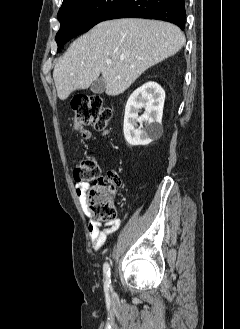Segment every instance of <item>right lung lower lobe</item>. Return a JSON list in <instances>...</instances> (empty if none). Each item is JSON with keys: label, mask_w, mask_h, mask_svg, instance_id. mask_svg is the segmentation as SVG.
Masks as SVG:
<instances>
[{"label": "right lung lower lobe", "mask_w": 240, "mask_h": 329, "mask_svg": "<svg viewBox=\"0 0 240 329\" xmlns=\"http://www.w3.org/2000/svg\"><path fill=\"white\" fill-rule=\"evenodd\" d=\"M117 18H147L171 22L185 28L184 0H123L102 21Z\"/></svg>", "instance_id": "98d812e1"}]
</instances>
